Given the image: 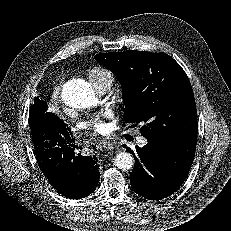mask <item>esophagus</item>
I'll list each match as a JSON object with an SVG mask.
<instances>
[{"mask_svg":"<svg viewBox=\"0 0 231 231\" xmlns=\"http://www.w3.org/2000/svg\"><path fill=\"white\" fill-rule=\"evenodd\" d=\"M101 146L105 149H113L115 146V142L111 140L104 139L100 142Z\"/></svg>","mask_w":231,"mask_h":231,"instance_id":"1","label":"esophagus"}]
</instances>
